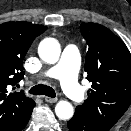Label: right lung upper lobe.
<instances>
[{
    "instance_id": "obj_1",
    "label": "right lung upper lobe",
    "mask_w": 131,
    "mask_h": 131,
    "mask_svg": "<svg viewBox=\"0 0 131 131\" xmlns=\"http://www.w3.org/2000/svg\"><path fill=\"white\" fill-rule=\"evenodd\" d=\"M46 29L22 21L0 24V131H21L32 114L35 102L11 88L24 77L23 58L30 45Z\"/></svg>"
}]
</instances>
